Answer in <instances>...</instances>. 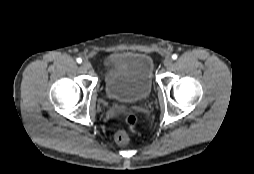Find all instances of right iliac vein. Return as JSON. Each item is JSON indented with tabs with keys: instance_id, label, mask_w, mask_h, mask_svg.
<instances>
[{
	"instance_id": "obj_1",
	"label": "right iliac vein",
	"mask_w": 254,
	"mask_h": 174,
	"mask_svg": "<svg viewBox=\"0 0 254 174\" xmlns=\"http://www.w3.org/2000/svg\"><path fill=\"white\" fill-rule=\"evenodd\" d=\"M91 63L89 62V61H83L82 62V68L84 69V70H90L91 69Z\"/></svg>"
}]
</instances>
